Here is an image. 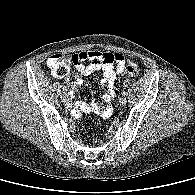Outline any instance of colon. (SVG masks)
I'll list each match as a JSON object with an SVG mask.
<instances>
[{
	"label": "colon",
	"mask_w": 195,
	"mask_h": 195,
	"mask_svg": "<svg viewBox=\"0 0 195 195\" xmlns=\"http://www.w3.org/2000/svg\"><path fill=\"white\" fill-rule=\"evenodd\" d=\"M72 58L65 54H53L47 60V65L56 77H64L70 72ZM125 74L128 76H138L137 67L130 63L124 68Z\"/></svg>",
	"instance_id": "obj_1"
}]
</instances>
